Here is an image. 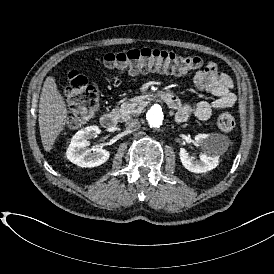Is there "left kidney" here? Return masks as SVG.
<instances>
[{"instance_id": "obj_1", "label": "left kidney", "mask_w": 274, "mask_h": 274, "mask_svg": "<svg viewBox=\"0 0 274 274\" xmlns=\"http://www.w3.org/2000/svg\"><path fill=\"white\" fill-rule=\"evenodd\" d=\"M225 137L218 133L197 134L195 144L202 150L200 160L193 159L185 149L180 150L182 165L189 172L205 173L215 169L219 165V157L226 152Z\"/></svg>"}]
</instances>
